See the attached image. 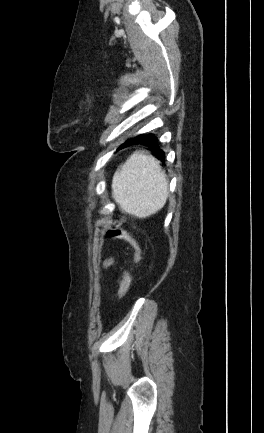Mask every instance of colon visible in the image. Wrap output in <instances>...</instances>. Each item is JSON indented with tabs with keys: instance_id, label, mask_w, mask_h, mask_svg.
<instances>
[{
	"instance_id": "5ec220e1",
	"label": "colon",
	"mask_w": 264,
	"mask_h": 433,
	"mask_svg": "<svg viewBox=\"0 0 264 433\" xmlns=\"http://www.w3.org/2000/svg\"><path fill=\"white\" fill-rule=\"evenodd\" d=\"M122 220H116L107 230L106 234L110 238L121 239L125 241L133 250L131 258L132 263H137L141 258V251L136 240L126 231L120 228ZM114 264L113 258H107L104 261V266L109 267ZM131 284V276L127 267L123 269L122 279L118 290V300H121L129 290Z\"/></svg>"
}]
</instances>
